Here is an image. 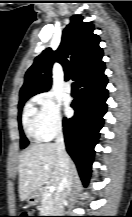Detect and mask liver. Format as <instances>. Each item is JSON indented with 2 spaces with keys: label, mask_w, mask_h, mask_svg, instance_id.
<instances>
[{
  "label": "liver",
  "mask_w": 132,
  "mask_h": 217,
  "mask_svg": "<svg viewBox=\"0 0 132 217\" xmlns=\"http://www.w3.org/2000/svg\"><path fill=\"white\" fill-rule=\"evenodd\" d=\"M73 171L75 172V166ZM19 197L21 201L49 182L56 189L61 180L55 143L30 146L19 158Z\"/></svg>",
  "instance_id": "liver-1"
}]
</instances>
